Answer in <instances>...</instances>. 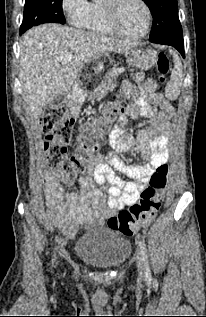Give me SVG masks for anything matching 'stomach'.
<instances>
[{
    "mask_svg": "<svg viewBox=\"0 0 206 317\" xmlns=\"http://www.w3.org/2000/svg\"><path fill=\"white\" fill-rule=\"evenodd\" d=\"M152 51L133 47L126 53L125 70H138L148 65V58L152 57ZM113 66V55H94L93 59L83 65L80 76L75 77L80 94H96L98 86H109L113 81L109 77L115 73ZM96 90L93 91L92 89ZM105 94V93H104Z\"/></svg>",
    "mask_w": 206,
    "mask_h": 317,
    "instance_id": "1",
    "label": "stomach"
}]
</instances>
